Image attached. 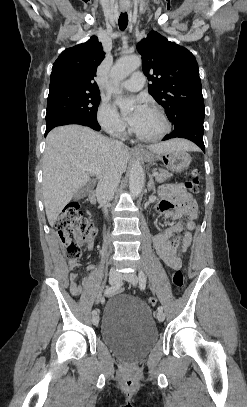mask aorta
Returning a JSON list of instances; mask_svg holds the SVG:
<instances>
[{"instance_id":"1","label":"aorta","mask_w":247,"mask_h":407,"mask_svg":"<svg viewBox=\"0 0 247 407\" xmlns=\"http://www.w3.org/2000/svg\"><path fill=\"white\" fill-rule=\"evenodd\" d=\"M141 65V58L137 55L121 57L111 69V79L113 86L110 91L119 94L121 91L118 84L127 78L133 71ZM121 111H128L126 106H120ZM144 186V171L139 162L133 163L129 171V189L133 197H138Z\"/></svg>"}]
</instances>
